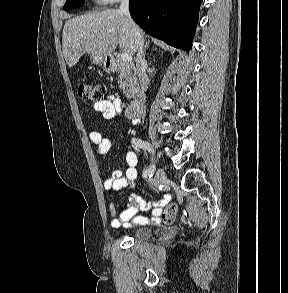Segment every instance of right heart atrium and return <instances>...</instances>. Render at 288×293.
Wrapping results in <instances>:
<instances>
[{
  "instance_id": "d8ad5b80",
  "label": "right heart atrium",
  "mask_w": 288,
  "mask_h": 293,
  "mask_svg": "<svg viewBox=\"0 0 288 293\" xmlns=\"http://www.w3.org/2000/svg\"><path fill=\"white\" fill-rule=\"evenodd\" d=\"M100 1L105 4H112V3L118 2L119 0H100Z\"/></svg>"
}]
</instances>
